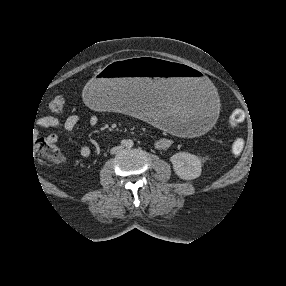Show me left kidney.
Returning a JSON list of instances; mask_svg holds the SVG:
<instances>
[{"label":"left kidney","instance_id":"obj_1","mask_svg":"<svg viewBox=\"0 0 286 286\" xmlns=\"http://www.w3.org/2000/svg\"><path fill=\"white\" fill-rule=\"evenodd\" d=\"M170 161L177 176L184 180L198 178L202 172L201 160L193 154L179 152L174 154Z\"/></svg>","mask_w":286,"mask_h":286}]
</instances>
